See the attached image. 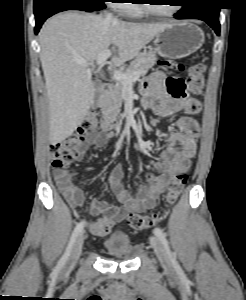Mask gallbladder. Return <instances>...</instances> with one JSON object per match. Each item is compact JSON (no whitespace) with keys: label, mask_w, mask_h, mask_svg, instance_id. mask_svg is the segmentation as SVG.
<instances>
[{"label":"gallbladder","mask_w":246,"mask_h":300,"mask_svg":"<svg viewBox=\"0 0 246 300\" xmlns=\"http://www.w3.org/2000/svg\"><path fill=\"white\" fill-rule=\"evenodd\" d=\"M94 89H95V93H94L95 95H94V104H93V106L96 107L99 96H100V90H99V83L98 82L94 83Z\"/></svg>","instance_id":"1"}]
</instances>
